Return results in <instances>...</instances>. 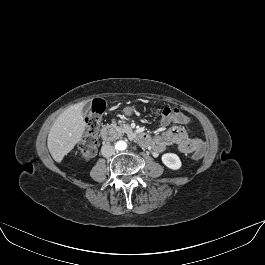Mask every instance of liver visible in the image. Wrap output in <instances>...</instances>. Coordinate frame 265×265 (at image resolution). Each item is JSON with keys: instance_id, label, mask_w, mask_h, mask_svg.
I'll use <instances>...</instances> for the list:
<instances>
[{"instance_id": "6515ba94", "label": "liver", "mask_w": 265, "mask_h": 265, "mask_svg": "<svg viewBox=\"0 0 265 265\" xmlns=\"http://www.w3.org/2000/svg\"><path fill=\"white\" fill-rule=\"evenodd\" d=\"M83 106V103H77L66 109L57 117L49 131L47 146L51 156L58 163L82 138L85 130Z\"/></svg>"}]
</instances>
